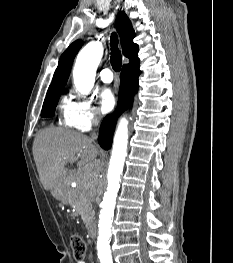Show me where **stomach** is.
Masks as SVG:
<instances>
[{
    "label": "stomach",
    "instance_id": "stomach-1",
    "mask_svg": "<svg viewBox=\"0 0 233 263\" xmlns=\"http://www.w3.org/2000/svg\"><path fill=\"white\" fill-rule=\"evenodd\" d=\"M51 194L62 202L67 201V178L63 176L59 178L51 190Z\"/></svg>",
    "mask_w": 233,
    "mask_h": 263
}]
</instances>
